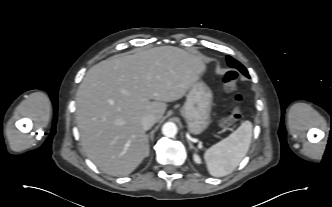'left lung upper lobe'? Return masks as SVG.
I'll list each match as a JSON object with an SVG mask.
<instances>
[{
    "label": "left lung upper lobe",
    "instance_id": "left-lung-upper-lobe-1",
    "mask_svg": "<svg viewBox=\"0 0 332 207\" xmlns=\"http://www.w3.org/2000/svg\"><path fill=\"white\" fill-rule=\"evenodd\" d=\"M227 63L231 68L238 69L241 73H243L245 76L249 77L246 68L237 60L233 59L230 56L226 57Z\"/></svg>",
    "mask_w": 332,
    "mask_h": 207
}]
</instances>
